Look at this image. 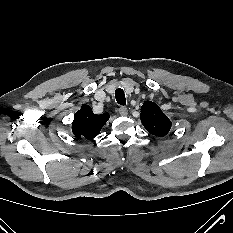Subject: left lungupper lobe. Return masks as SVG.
<instances>
[{"mask_svg":"<svg viewBox=\"0 0 233 233\" xmlns=\"http://www.w3.org/2000/svg\"><path fill=\"white\" fill-rule=\"evenodd\" d=\"M141 122L150 134L160 137L167 135L172 125L160 107L152 101H146L141 106Z\"/></svg>","mask_w":233,"mask_h":233,"instance_id":"left-lung-upper-lobe-1","label":"left lung upper lobe"}]
</instances>
